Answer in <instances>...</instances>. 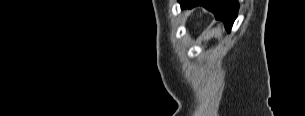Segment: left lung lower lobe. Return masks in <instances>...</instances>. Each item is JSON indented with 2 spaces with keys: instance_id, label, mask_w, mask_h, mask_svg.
<instances>
[{
  "instance_id": "0a47b994",
  "label": "left lung lower lobe",
  "mask_w": 305,
  "mask_h": 116,
  "mask_svg": "<svg viewBox=\"0 0 305 116\" xmlns=\"http://www.w3.org/2000/svg\"><path fill=\"white\" fill-rule=\"evenodd\" d=\"M182 7L192 8L202 5L215 14V18L222 20L225 28L229 31L237 17L238 1L237 0H180Z\"/></svg>"
}]
</instances>
